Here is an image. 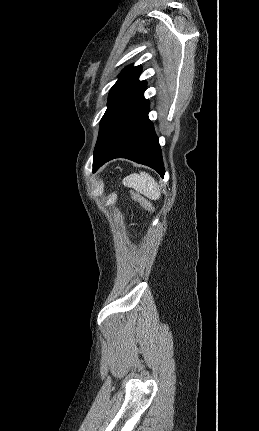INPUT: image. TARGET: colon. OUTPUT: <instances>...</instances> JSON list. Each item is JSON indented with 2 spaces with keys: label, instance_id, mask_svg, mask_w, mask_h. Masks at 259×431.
Instances as JSON below:
<instances>
[{
  "label": "colon",
  "instance_id": "5ec220e1",
  "mask_svg": "<svg viewBox=\"0 0 259 431\" xmlns=\"http://www.w3.org/2000/svg\"><path fill=\"white\" fill-rule=\"evenodd\" d=\"M132 196L147 211H153L154 210L153 205L146 198H144V197H142L136 193H132Z\"/></svg>",
  "mask_w": 259,
  "mask_h": 431
}]
</instances>
